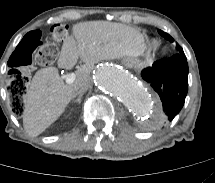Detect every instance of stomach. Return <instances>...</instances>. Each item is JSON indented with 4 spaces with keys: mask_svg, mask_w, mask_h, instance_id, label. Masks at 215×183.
<instances>
[{
    "mask_svg": "<svg viewBox=\"0 0 215 183\" xmlns=\"http://www.w3.org/2000/svg\"><path fill=\"white\" fill-rule=\"evenodd\" d=\"M127 61H128L130 64H132V65H134V64L137 63V61H136L135 59H133V58H129V59H127Z\"/></svg>",
    "mask_w": 215,
    "mask_h": 183,
    "instance_id": "1",
    "label": "stomach"
}]
</instances>
